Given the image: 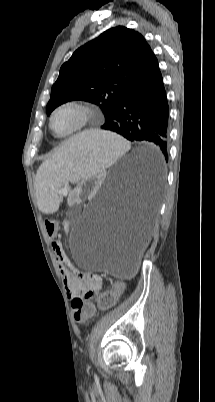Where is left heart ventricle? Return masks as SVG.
I'll return each instance as SVG.
<instances>
[{
  "instance_id": "obj_1",
  "label": "left heart ventricle",
  "mask_w": 215,
  "mask_h": 402,
  "mask_svg": "<svg viewBox=\"0 0 215 402\" xmlns=\"http://www.w3.org/2000/svg\"><path fill=\"white\" fill-rule=\"evenodd\" d=\"M79 121V115L73 110H63L54 118L53 126L57 133L63 134L72 130Z\"/></svg>"
}]
</instances>
